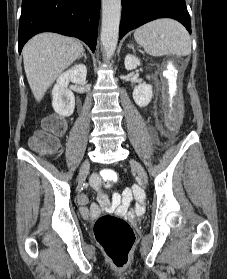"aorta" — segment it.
Returning <instances> with one entry per match:
<instances>
[{"mask_svg": "<svg viewBox=\"0 0 227 279\" xmlns=\"http://www.w3.org/2000/svg\"><path fill=\"white\" fill-rule=\"evenodd\" d=\"M121 16V0H102L101 44L107 58L115 52Z\"/></svg>", "mask_w": 227, "mask_h": 279, "instance_id": "762f6f07", "label": "aorta"}]
</instances>
